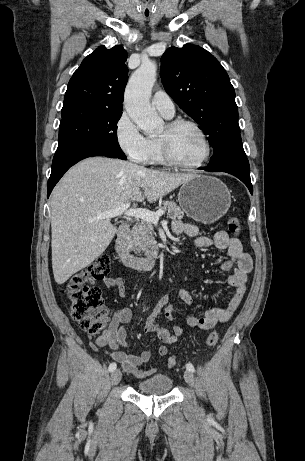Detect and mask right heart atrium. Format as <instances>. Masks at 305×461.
Returning <instances> with one entry per match:
<instances>
[{
  "label": "right heart atrium",
  "instance_id": "right-heart-atrium-1",
  "mask_svg": "<svg viewBox=\"0 0 305 461\" xmlns=\"http://www.w3.org/2000/svg\"><path fill=\"white\" fill-rule=\"evenodd\" d=\"M115 137L118 146L130 160L140 164L147 163L150 141L127 112H123L116 122Z\"/></svg>",
  "mask_w": 305,
  "mask_h": 461
}]
</instances>
